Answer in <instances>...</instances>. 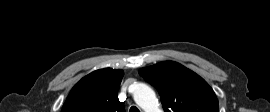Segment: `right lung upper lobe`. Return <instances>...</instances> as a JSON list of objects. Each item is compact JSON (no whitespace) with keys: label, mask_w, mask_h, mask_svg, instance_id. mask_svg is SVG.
<instances>
[{"label":"right lung upper lobe","mask_w":270,"mask_h":112,"mask_svg":"<svg viewBox=\"0 0 270 112\" xmlns=\"http://www.w3.org/2000/svg\"><path fill=\"white\" fill-rule=\"evenodd\" d=\"M123 75L122 70L111 68L88 74L72 88L62 112H125L118 100Z\"/></svg>","instance_id":"obj_1"}]
</instances>
